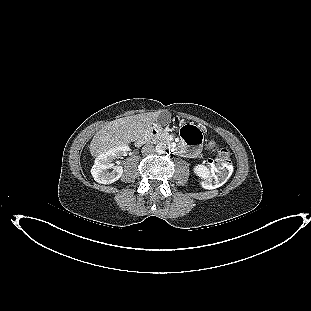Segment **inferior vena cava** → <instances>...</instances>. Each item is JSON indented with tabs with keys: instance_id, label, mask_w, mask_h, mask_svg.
Listing matches in <instances>:
<instances>
[{
	"instance_id": "inferior-vena-cava-1",
	"label": "inferior vena cava",
	"mask_w": 311,
	"mask_h": 311,
	"mask_svg": "<svg viewBox=\"0 0 311 311\" xmlns=\"http://www.w3.org/2000/svg\"><path fill=\"white\" fill-rule=\"evenodd\" d=\"M141 152L145 155L153 154L155 152V148L151 144H146L142 147Z\"/></svg>"
}]
</instances>
